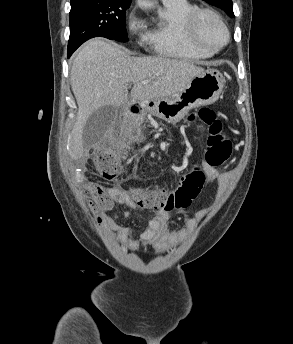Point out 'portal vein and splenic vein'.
Here are the masks:
<instances>
[{
	"instance_id": "1",
	"label": "portal vein and splenic vein",
	"mask_w": 293,
	"mask_h": 344,
	"mask_svg": "<svg viewBox=\"0 0 293 344\" xmlns=\"http://www.w3.org/2000/svg\"><path fill=\"white\" fill-rule=\"evenodd\" d=\"M149 82V80H146V81H143L142 83L143 84H147Z\"/></svg>"
}]
</instances>
